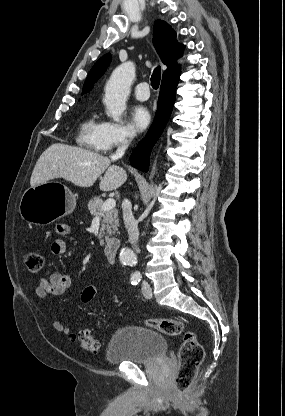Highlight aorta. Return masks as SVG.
I'll list each match as a JSON object with an SVG mask.
<instances>
[{
    "instance_id": "1",
    "label": "aorta",
    "mask_w": 285,
    "mask_h": 416,
    "mask_svg": "<svg viewBox=\"0 0 285 416\" xmlns=\"http://www.w3.org/2000/svg\"><path fill=\"white\" fill-rule=\"evenodd\" d=\"M134 78L135 65L129 61L118 66L106 84L104 102L108 114L116 122L120 121L121 115L126 109L127 97ZM120 261L131 267L137 264V259L133 252L125 248L120 252Z\"/></svg>"
}]
</instances>
